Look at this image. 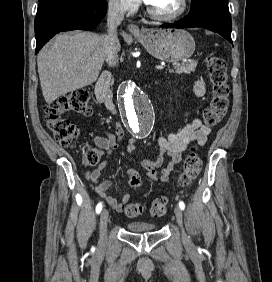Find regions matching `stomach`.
Masks as SVG:
<instances>
[{
    "instance_id": "obj_1",
    "label": "stomach",
    "mask_w": 272,
    "mask_h": 282,
    "mask_svg": "<svg viewBox=\"0 0 272 282\" xmlns=\"http://www.w3.org/2000/svg\"><path fill=\"white\" fill-rule=\"evenodd\" d=\"M135 37L152 56L167 62L187 59L195 51L193 37L182 29H144Z\"/></svg>"
}]
</instances>
